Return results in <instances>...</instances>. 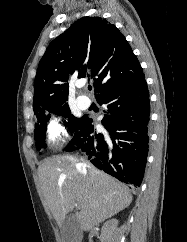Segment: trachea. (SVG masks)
I'll list each match as a JSON object with an SVG mask.
<instances>
[{
  "mask_svg": "<svg viewBox=\"0 0 187 242\" xmlns=\"http://www.w3.org/2000/svg\"><path fill=\"white\" fill-rule=\"evenodd\" d=\"M88 89H89V90H92V87H91V85H89V86H88Z\"/></svg>",
  "mask_w": 187,
  "mask_h": 242,
  "instance_id": "1",
  "label": "trachea"
}]
</instances>
